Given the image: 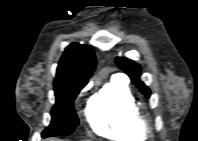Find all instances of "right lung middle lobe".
I'll list each match as a JSON object with an SVG mask.
<instances>
[{
    "label": "right lung middle lobe",
    "mask_w": 198,
    "mask_h": 141,
    "mask_svg": "<svg viewBox=\"0 0 198 141\" xmlns=\"http://www.w3.org/2000/svg\"><path fill=\"white\" fill-rule=\"evenodd\" d=\"M86 83L54 84L56 103L52 108V121L42 137L69 135L78 126L79 121L74 110V100Z\"/></svg>",
    "instance_id": "obj_1"
}]
</instances>
